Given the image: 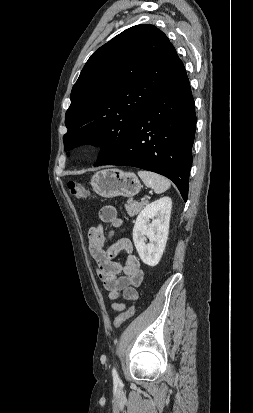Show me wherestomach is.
<instances>
[{
	"mask_svg": "<svg viewBox=\"0 0 253 413\" xmlns=\"http://www.w3.org/2000/svg\"><path fill=\"white\" fill-rule=\"evenodd\" d=\"M91 186L94 192L103 198L133 197L142 187L136 174L118 169L96 172L92 176Z\"/></svg>",
	"mask_w": 253,
	"mask_h": 413,
	"instance_id": "0dacf381",
	"label": "stomach"
}]
</instances>
